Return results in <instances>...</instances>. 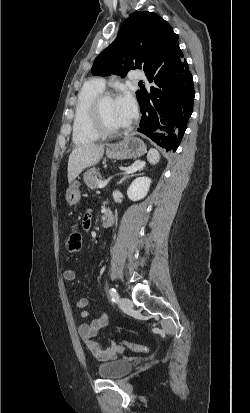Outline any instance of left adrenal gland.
I'll list each match as a JSON object with an SVG mask.
<instances>
[{
	"label": "left adrenal gland",
	"mask_w": 250,
	"mask_h": 413,
	"mask_svg": "<svg viewBox=\"0 0 250 413\" xmlns=\"http://www.w3.org/2000/svg\"><path fill=\"white\" fill-rule=\"evenodd\" d=\"M133 166H135V164H133V165H132L131 167H129V168H132ZM135 175H137V174L131 173V174L124 175V176L120 179V181L118 182V184H121L122 182H124V181L127 180L128 178H131V177H133V176H135Z\"/></svg>",
	"instance_id": "1"
}]
</instances>
